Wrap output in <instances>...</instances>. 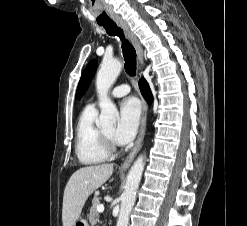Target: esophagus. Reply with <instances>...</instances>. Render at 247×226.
Listing matches in <instances>:
<instances>
[{"label":"esophagus","instance_id":"1","mask_svg":"<svg viewBox=\"0 0 247 226\" xmlns=\"http://www.w3.org/2000/svg\"><path fill=\"white\" fill-rule=\"evenodd\" d=\"M115 22L119 27H121L125 31V33L127 34V36L130 38V40L133 43V46H134L136 53H137V59H138V63H139V69H140L139 75L141 76L142 66L144 63L143 48H142L141 44L139 43L138 38L132 32L130 26L128 25V23L126 21H124L123 19H116ZM141 101H142V117H141L139 134H138V137L135 141V144H134L132 150L130 151V153L128 154V156L126 157L125 161L123 162V164L121 166V171H125L131 165L136 154L138 153V151L141 148V145H142V142H143V139L145 136L147 114H148V104L142 96H141Z\"/></svg>","mask_w":247,"mask_h":226}]
</instances>
